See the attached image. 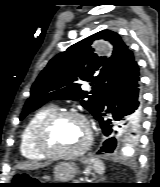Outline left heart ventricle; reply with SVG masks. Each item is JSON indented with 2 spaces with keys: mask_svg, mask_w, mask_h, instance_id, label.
I'll return each mask as SVG.
<instances>
[{
  "mask_svg": "<svg viewBox=\"0 0 160 187\" xmlns=\"http://www.w3.org/2000/svg\"><path fill=\"white\" fill-rule=\"evenodd\" d=\"M87 141V130L78 118H66L59 122L53 134V146L65 152H73Z\"/></svg>",
  "mask_w": 160,
  "mask_h": 187,
  "instance_id": "1",
  "label": "left heart ventricle"
}]
</instances>
